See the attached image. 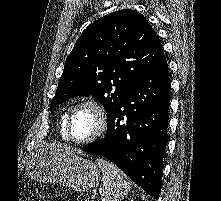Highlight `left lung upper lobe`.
<instances>
[{
	"label": "left lung upper lobe",
	"instance_id": "1",
	"mask_svg": "<svg viewBox=\"0 0 221 201\" xmlns=\"http://www.w3.org/2000/svg\"><path fill=\"white\" fill-rule=\"evenodd\" d=\"M165 58L145 17L131 9L89 25L69 54L50 109L74 96L103 104L108 121L126 94Z\"/></svg>",
	"mask_w": 221,
	"mask_h": 201
}]
</instances>
